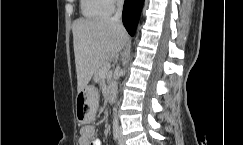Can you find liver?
Masks as SVG:
<instances>
[{"mask_svg":"<svg viewBox=\"0 0 243 145\" xmlns=\"http://www.w3.org/2000/svg\"><path fill=\"white\" fill-rule=\"evenodd\" d=\"M77 90L82 91L99 62L106 55H115L124 47L128 35L121 22L112 18H81L72 26Z\"/></svg>","mask_w":243,"mask_h":145,"instance_id":"obj_1","label":"liver"}]
</instances>
